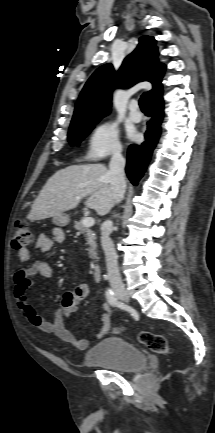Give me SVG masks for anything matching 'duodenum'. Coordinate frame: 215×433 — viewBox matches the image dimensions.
<instances>
[{
  "label": "duodenum",
  "instance_id": "1",
  "mask_svg": "<svg viewBox=\"0 0 215 433\" xmlns=\"http://www.w3.org/2000/svg\"><path fill=\"white\" fill-rule=\"evenodd\" d=\"M92 273H93V278L96 281H101L102 280V271H101V266L99 264H94L92 267Z\"/></svg>",
  "mask_w": 215,
  "mask_h": 433
}]
</instances>
